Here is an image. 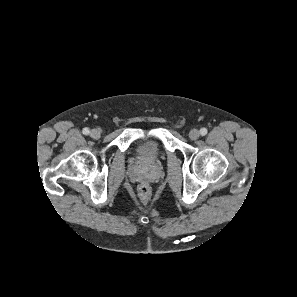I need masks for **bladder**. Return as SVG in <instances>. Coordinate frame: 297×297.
<instances>
[{
    "label": "bladder",
    "instance_id": "bladder-1",
    "mask_svg": "<svg viewBox=\"0 0 297 297\" xmlns=\"http://www.w3.org/2000/svg\"><path fill=\"white\" fill-rule=\"evenodd\" d=\"M134 150L135 154L144 161L156 160L161 153L159 142L152 137H144L138 140Z\"/></svg>",
    "mask_w": 297,
    "mask_h": 297
}]
</instances>
